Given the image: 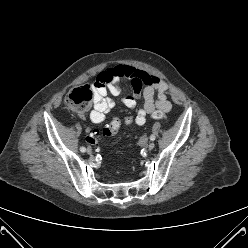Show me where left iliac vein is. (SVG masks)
I'll return each mask as SVG.
<instances>
[{"label": "left iliac vein", "mask_w": 248, "mask_h": 248, "mask_svg": "<svg viewBox=\"0 0 248 248\" xmlns=\"http://www.w3.org/2000/svg\"><path fill=\"white\" fill-rule=\"evenodd\" d=\"M154 147H155V144H154L153 142H151V143L148 145V150H152Z\"/></svg>", "instance_id": "left-iliac-vein-1"}]
</instances>
